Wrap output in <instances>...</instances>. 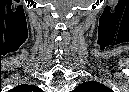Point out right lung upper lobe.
<instances>
[{"mask_svg":"<svg viewBox=\"0 0 129 92\" xmlns=\"http://www.w3.org/2000/svg\"><path fill=\"white\" fill-rule=\"evenodd\" d=\"M20 88H23V89H26V90H34V91H37L39 92L41 89L36 87V86H28V85H23V86H20Z\"/></svg>","mask_w":129,"mask_h":92,"instance_id":"right-lung-upper-lobe-1","label":"right lung upper lobe"}]
</instances>
